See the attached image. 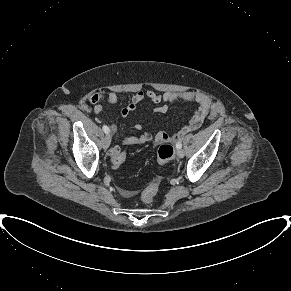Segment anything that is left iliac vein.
<instances>
[{
    "instance_id": "left-iliac-vein-1",
    "label": "left iliac vein",
    "mask_w": 291,
    "mask_h": 291,
    "mask_svg": "<svg viewBox=\"0 0 291 291\" xmlns=\"http://www.w3.org/2000/svg\"><path fill=\"white\" fill-rule=\"evenodd\" d=\"M184 155H185V153H184V151L181 148L177 150V156L179 158H183Z\"/></svg>"
}]
</instances>
